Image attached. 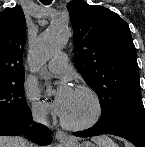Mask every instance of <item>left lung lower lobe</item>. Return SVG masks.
<instances>
[{
	"mask_svg": "<svg viewBox=\"0 0 145 147\" xmlns=\"http://www.w3.org/2000/svg\"><path fill=\"white\" fill-rule=\"evenodd\" d=\"M102 134L120 136L133 143L136 147H145V112L124 117L104 128L94 125L92 128L74 133L77 137Z\"/></svg>",
	"mask_w": 145,
	"mask_h": 147,
	"instance_id": "left-lung-lower-lobe-1",
	"label": "left lung lower lobe"
}]
</instances>
